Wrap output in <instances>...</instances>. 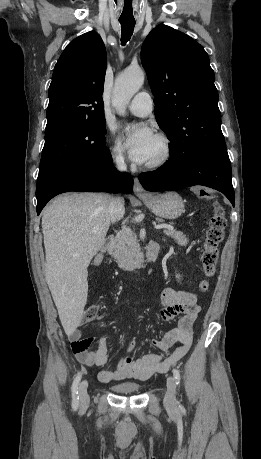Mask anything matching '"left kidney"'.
Here are the masks:
<instances>
[{
	"label": "left kidney",
	"mask_w": 261,
	"mask_h": 459,
	"mask_svg": "<svg viewBox=\"0 0 261 459\" xmlns=\"http://www.w3.org/2000/svg\"><path fill=\"white\" fill-rule=\"evenodd\" d=\"M176 277H177V278H179L180 276H179V275H177Z\"/></svg>",
	"instance_id": "5707ae66"
}]
</instances>
